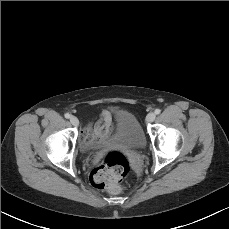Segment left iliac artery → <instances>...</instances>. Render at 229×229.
<instances>
[{"label": "left iliac artery", "instance_id": "44dca946", "mask_svg": "<svg viewBox=\"0 0 229 229\" xmlns=\"http://www.w3.org/2000/svg\"><path fill=\"white\" fill-rule=\"evenodd\" d=\"M161 110L160 109H156L155 110V114H160Z\"/></svg>", "mask_w": 229, "mask_h": 229}]
</instances>
